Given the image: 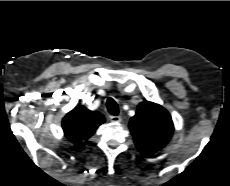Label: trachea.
Returning a JSON list of instances; mask_svg holds the SVG:
<instances>
[{
    "mask_svg": "<svg viewBox=\"0 0 230 186\" xmlns=\"http://www.w3.org/2000/svg\"><path fill=\"white\" fill-rule=\"evenodd\" d=\"M106 106H107L108 112L111 115L117 116L119 114L118 105H117V103L115 102V100L113 98H108L107 99Z\"/></svg>",
    "mask_w": 230,
    "mask_h": 186,
    "instance_id": "obj_1",
    "label": "trachea"
}]
</instances>
